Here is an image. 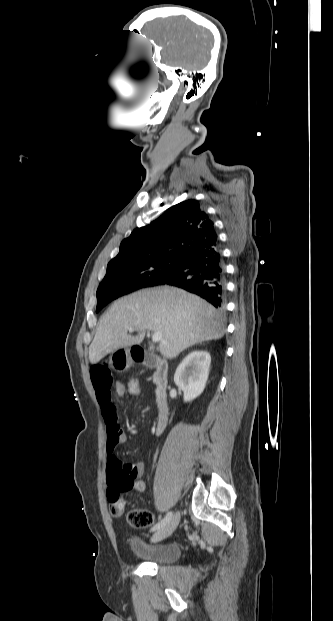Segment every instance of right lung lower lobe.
Returning <instances> with one entry per match:
<instances>
[{
  "mask_svg": "<svg viewBox=\"0 0 333 621\" xmlns=\"http://www.w3.org/2000/svg\"><path fill=\"white\" fill-rule=\"evenodd\" d=\"M164 284L183 288L216 308H224L226 276L218 241L206 249L185 255L178 271L161 283Z\"/></svg>",
  "mask_w": 333,
  "mask_h": 621,
  "instance_id": "right-lung-lower-lobe-1",
  "label": "right lung lower lobe"
}]
</instances>
